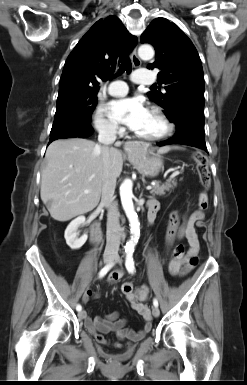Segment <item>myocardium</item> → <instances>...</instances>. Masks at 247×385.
<instances>
[{
    "label": "myocardium",
    "mask_w": 247,
    "mask_h": 385,
    "mask_svg": "<svg viewBox=\"0 0 247 385\" xmlns=\"http://www.w3.org/2000/svg\"><path fill=\"white\" fill-rule=\"evenodd\" d=\"M150 112L155 114L160 119V121L164 125V130L160 134L153 135V136H143L135 133L136 138L147 142H156V141L164 140L169 136H171L174 131V125L171 122V120L168 118V116L164 113V111L160 107L152 106L150 108Z\"/></svg>",
    "instance_id": "f54148a6"
}]
</instances>
